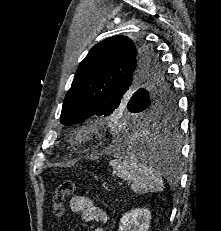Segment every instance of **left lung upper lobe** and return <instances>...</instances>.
Here are the masks:
<instances>
[{
  "label": "left lung upper lobe",
  "mask_w": 221,
  "mask_h": 231,
  "mask_svg": "<svg viewBox=\"0 0 221 231\" xmlns=\"http://www.w3.org/2000/svg\"><path fill=\"white\" fill-rule=\"evenodd\" d=\"M124 106L160 124L176 119L175 95L157 50L117 35L96 44L80 63L60 121L80 124L94 115H115Z\"/></svg>",
  "instance_id": "obj_1"
}]
</instances>
